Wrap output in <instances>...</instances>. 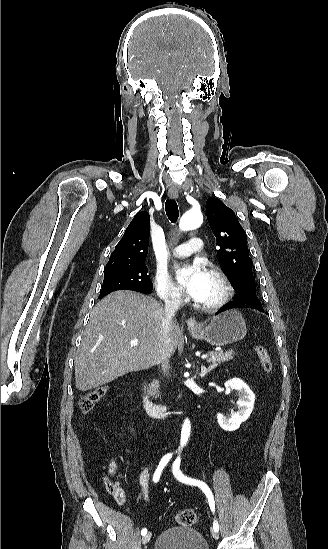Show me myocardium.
Returning a JSON list of instances; mask_svg holds the SVG:
<instances>
[{
	"label": "myocardium",
	"instance_id": "obj_1",
	"mask_svg": "<svg viewBox=\"0 0 328 549\" xmlns=\"http://www.w3.org/2000/svg\"><path fill=\"white\" fill-rule=\"evenodd\" d=\"M197 264L210 267L211 269L208 273L214 275L222 284V293L220 297L209 303H201L197 301L198 308L207 313H215L223 310L233 294V286L230 279L222 271V267L216 262L210 260H200Z\"/></svg>",
	"mask_w": 328,
	"mask_h": 549
}]
</instances>
